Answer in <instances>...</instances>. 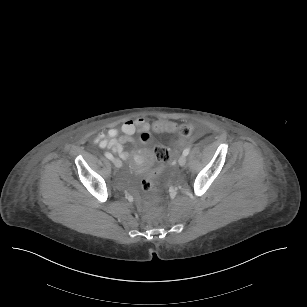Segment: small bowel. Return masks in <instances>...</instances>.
Masks as SVG:
<instances>
[{"mask_svg": "<svg viewBox=\"0 0 307 307\" xmlns=\"http://www.w3.org/2000/svg\"><path fill=\"white\" fill-rule=\"evenodd\" d=\"M149 122L144 118H136L126 120L120 129L111 128L107 132L99 133L94 142L101 148H108L112 152L119 155L123 160L130 159L133 155L137 156V153L131 154L125 150L127 143H133V135L136 132H141L145 128H150Z\"/></svg>", "mask_w": 307, "mask_h": 307, "instance_id": "c3829d8e", "label": "small bowel"}]
</instances>
